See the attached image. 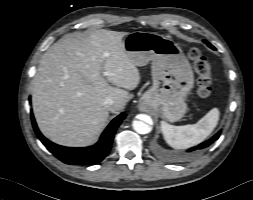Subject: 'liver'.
Returning a JSON list of instances; mask_svg holds the SVG:
<instances>
[{"label":"liver","mask_w":253,"mask_h":200,"mask_svg":"<svg viewBox=\"0 0 253 200\" xmlns=\"http://www.w3.org/2000/svg\"><path fill=\"white\" fill-rule=\"evenodd\" d=\"M126 35L97 30L87 38L62 39L43 54L33 79L32 106L48 139L65 146H88L104 128L109 111L124 108L127 90L140 82L139 70L125 52ZM107 97L114 100L111 110L103 105Z\"/></svg>","instance_id":"1"}]
</instances>
